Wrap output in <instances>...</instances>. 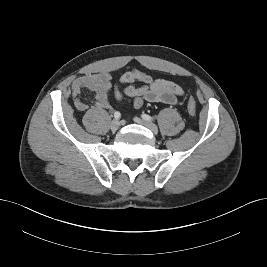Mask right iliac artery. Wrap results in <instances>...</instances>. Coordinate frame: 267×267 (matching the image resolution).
Returning a JSON list of instances; mask_svg holds the SVG:
<instances>
[{"label":"right iliac artery","instance_id":"1","mask_svg":"<svg viewBox=\"0 0 267 267\" xmlns=\"http://www.w3.org/2000/svg\"><path fill=\"white\" fill-rule=\"evenodd\" d=\"M114 117H115V119H120V117H121V114H120V112H118V111H116L115 113H114Z\"/></svg>","mask_w":267,"mask_h":267}]
</instances>
